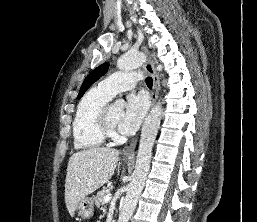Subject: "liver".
Segmentation results:
<instances>
[{
	"instance_id": "obj_1",
	"label": "liver",
	"mask_w": 257,
	"mask_h": 222,
	"mask_svg": "<svg viewBox=\"0 0 257 222\" xmlns=\"http://www.w3.org/2000/svg\"><path fill=\"white\" fill-rule=\"evenodd\" d=\"M118 157L119 151L110 148H89L70 157L65 180V203L72 217L82 198L109 181Z\"/></svg>"
}]
</instances>
